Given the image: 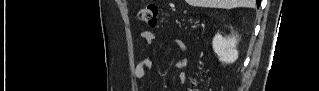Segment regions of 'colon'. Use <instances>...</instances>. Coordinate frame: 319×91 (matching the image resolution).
Segmentation results:
<instances>
[{
  "label": "colon",
  "instance_id": "colon-1",
  "mask_svg": "<svg viewBox=\"0 0 319 91\" xmlns=\"http://www.w3.org/2000/svg\"><path fill=\"white\" fill-rule=\"evenodd\" d=\"M158 7L154 3H148L142 7L138 12L140 21L147 23L151 27L157 26Z\"/></svg>",
  "mask_w": 319,
  "mask_h": 91
}]
</instances>
